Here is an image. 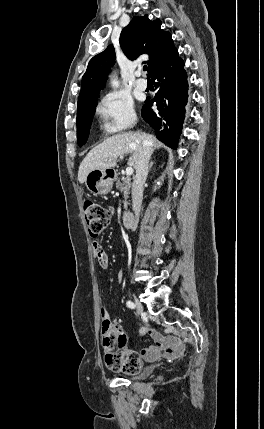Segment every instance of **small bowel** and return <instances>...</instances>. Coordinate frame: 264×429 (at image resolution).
I'll return each mask as SVG.
<instances>
[{"label": "small bowel", "instance_id": "1", "mask_svg": "<svg viewBox=\"0 0 264 429\" xmlns=\"http://www.w3.org/2000/svg\"><path fill=\"white\" fill-rule=\"evenodd\" d=\"M92 248L100 266L102 268H107L109 265V256L103 246L99 242L95 241L92 244ZM118 278L119 280L122 278V273H119ZM102 309L106 314V309L104 307H102ZM142 334L144 336H150L154 341L153 345L145 347L140 351V356L146 361H155L162 355L167 358H174L181 355L184 350L182 341L176 336H163L155 330L148 328L143 329ZM132 353L136 354L131 350L125 351V354Z\"/></svg>", "mask_w": 264, "mask_h": 429}]
</instances>
